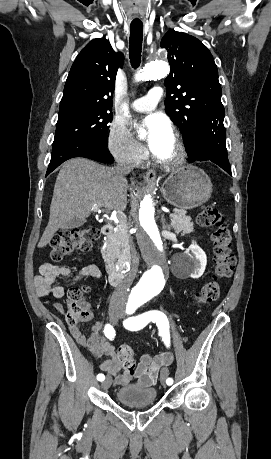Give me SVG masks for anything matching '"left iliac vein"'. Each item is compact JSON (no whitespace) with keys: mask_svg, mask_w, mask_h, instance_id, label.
<instances>
[{"mask_svg":"<svg viewBox=\"0 0 271 459\" xmlns=\"http://www.w3.org/2000/svg\"><path fill=\"white\" fill-rule=\"evenodd\" d=\"M169 371L167 368H162L161 374H160V381L163 385H166L165 381L168 378Z\"/></svg>","mask_w":271,"mask_h":459,"instance_id":"4c4485c4","label":"left iliac vein"}]
</instances>
